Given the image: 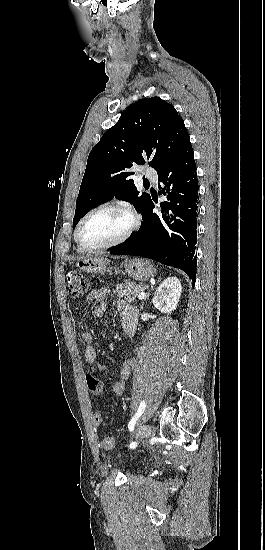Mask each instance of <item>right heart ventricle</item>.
<instances>
[{
  "instance_id": "e07e8e85",
  "label": "right heart ventricle",
  "mask_w": 265,
  "mask_h": 550,
  "mask_svg": "<svg viewBox=\"0 0 265 550\" xmlns=\"http://www.w3.org/2000/svg\"><path fill=\"white\" fill-rule=\"evenodd\" d=\"M78 251H81V249H80V248H78Z\"/></svg>"
}]
</instances>
